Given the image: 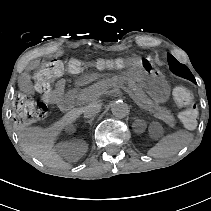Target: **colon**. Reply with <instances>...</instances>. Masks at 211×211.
I'll use <instances>...</instances> for the list:
<instances>
[{
	"label": "colon",
	"mask_w": 211,
	"mask_h": 211,
	"mask_svg": "<svg viewBox=\"0 0 211 211\" xmlns=\"http://www.w3.org/2000/svg\"><path fill=\"white\" fill-rule=\"evenodd\" d=\"M146 61L140 57L100 58L92 61L70 58L65 61L51 59L41 64L32 74L35 89L42 95L51 91L55 81L64 73H80L87 69L125 70L144 69ZM175 102L182 108L179 117L186 128L193 129L198 122V108L194 104L192 92L185 87H177L173 92ZM13 116L16 122L29 125L44 119L49 112L45 102H38L19 93L14 101Z\"/></svg>",
	"instance_id": "colon-1"
}]
</instances>
